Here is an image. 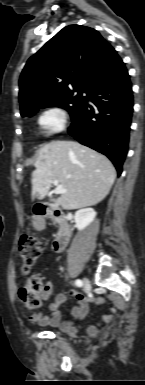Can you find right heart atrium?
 Returning <instances> with one entry per match:
<instances>
[{
  "label": "right heart atrium",
  "instance_id": "right-heart-atrium-1",
  "mask_svg": "<svg viewBox=\"0 0 145 385\" xmlns=\"http://www.w3.org/2000/svg\"><path fill=\"white\" fill-rule=\"evenodd\" d=\"M37 122L45 136H52L65 129L67 113L61 106L53 105L40 113Z\"/></svg>",
  "mask_w": 145,
  "mask_h": 385
}]
</instances>
